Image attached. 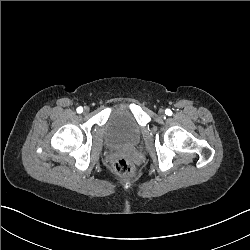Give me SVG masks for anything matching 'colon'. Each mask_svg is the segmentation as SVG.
<instances>
[{"instance_id": "colon-1", "label": "colon", "mask_w": 250, "mask_h": 250, "mask_svg": "<svg viewBox=\"0 0 250 250\" xmlns=\"http://www.w3.org/2000/svg\"><path fill=\"white\" fill-rule=\"evenodd\" d=\"M111 173L114 178L123 183H130L137 176V169L134 164L125 159H118L111 166Z\"/></svg>"}]
</instances>
